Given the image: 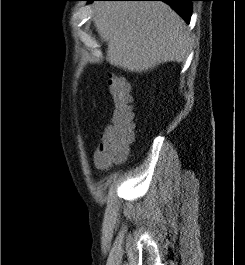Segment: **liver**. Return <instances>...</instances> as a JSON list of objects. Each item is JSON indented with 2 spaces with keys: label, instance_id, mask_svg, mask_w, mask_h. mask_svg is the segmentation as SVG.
Listing matches in <instances>:
<instances>
[{
  "label": "liver",
  "instance_id": "1",
  "mask_svg": "<svg viewBox=\"0 0 245 265\" xmlns=\"http://www.w3.org/2000/svg\"><path fill=\"white\" fill-rule=\"evenodd\" d=\"M93 20L108 41V58L115 66L142 73L187 58L186 23L163 2L97 1Z\"/></svg>",
  "mask_w": 245,
  "mask_h": 265
}]
</instances>
